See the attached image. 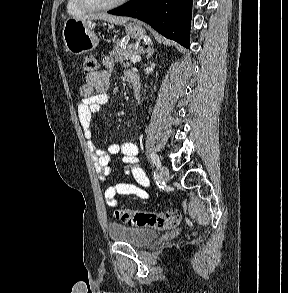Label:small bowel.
<instances>
[{"label": "small bowel", "instance_id": "obj_1", "mask_svg": "<svg viewBox=\"0 0 288 293\" xmlns=\"http://www.w3.org/2000/svg\"><path fill=\"white\" fill-rule=\"evenodd\" d=\"M103 64L104 70L85 78V83L80 88L81 101L77 113L100 180L104 183L107 182L108 176L111 174L109 167L111 157H116L127 165L124 171L125 175L136 181V183H118L105 190L104 196L107 204L111 207H118L119 196L134 195L143 200L149 199L147 188L150 186V180L138 163L139 148L136 142L110 144L105 149H101L92 141V121L95 114L108 101L107 91L110 87L114 60L112 57L106 56L103 59ZM134 75L136 74L131 71L125 73L128 80Z\"/></svg>", "mask_w": 288, "mask_h": 293}]
</instances>
